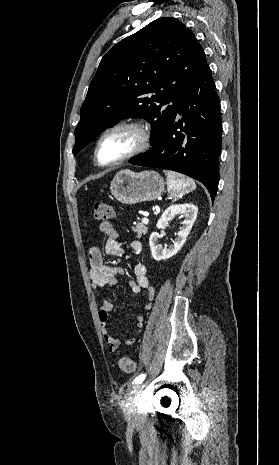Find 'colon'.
<instances>
[{"label": "colon", "instance_id": "5ec220e1", "mask_svg": "<svg viewBox=\"0 0 279 465\" xmlns=\"http://www.w3.org/2000/svg\"><path fill=\"white\" fill-rule=\"evenodd\" d=\"M94 217L97 220L107 221L110 219L115 218V211L114 208L107 204L98 202L94 205ZM118 366L120 370L124 373H132L135 370L134 361L127 356H121L118 359Z\"/></svg>", "mask_w": 279, "mask_h": 465}]
</instances>
